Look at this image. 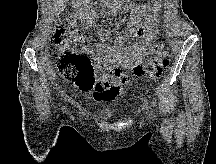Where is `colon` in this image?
<instances>
[{"mask_svg": "<svg viewBox=\"0 0 216 164\" xmlns=\"http://www.w3.org/2000/svg\"><path fill=\"white\" fill-rule=\"evenodd\" d=\"M77 36L74 20H68L66 25H56L52 39L60 51L59 72L80 89L92 90L100 84L98 71H106L108 67L100 60L92 61L87 55L76 52ZM167 65V58L157 59L149 69L141 66L134 74L139 79L156 78Z\"/></svg>", "mask_w": 216, "mask_h": 164, "instance_id": "5ec220e1", "label": "colon"}]
</instances>
